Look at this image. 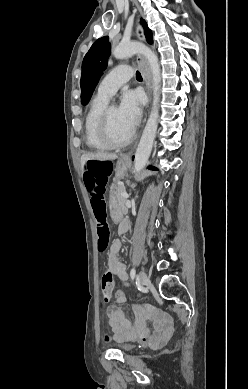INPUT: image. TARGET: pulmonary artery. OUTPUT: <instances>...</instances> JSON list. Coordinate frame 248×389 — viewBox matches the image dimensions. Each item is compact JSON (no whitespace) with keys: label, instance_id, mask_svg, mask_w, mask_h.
I'll return each instance as SVG.
<instances>
[{"label":"pulmonary artery","instance_id":"1","mask_svg":"<svg viewBox=\"0 0 248 389\" xmlns=\"http://www.w3.org/2000/svg\"><path fill=\"white\" fill-rule=\"evenodd\" d=\"M132 76L133 71L129 65L123 64L115 67L100 82L98 94L109 99Z\"/></svg>","mask_w":248,"mask_h":389}]
</instances>
